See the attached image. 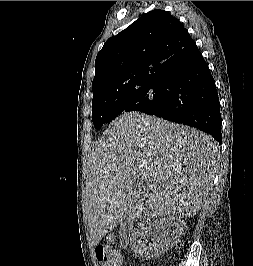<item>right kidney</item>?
<instances>
[{"label":"right kidney","mask_w":253,"mask_h":266,"mask_svg":"<svg viewBox=\"0 0 253 266\" xmlns=\"http://www.w3.org/2000/svg\"><path fill=\"white\" fill-rule=\"evenodd\" d=\"M186 228V222L181 218L144 220L132 231L130 246L142 259L157 258L177 244Z\"/></svg>","instance_id":"1"}]
</instances>
